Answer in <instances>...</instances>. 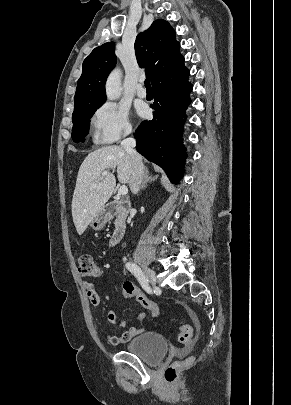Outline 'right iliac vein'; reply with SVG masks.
I'll list each match as a JSON object with an SVG mask.
<instances>
[{
	"instance_id": "right-iliac-vein-1",
	"label": "right iliac vein",
	"mask_w": 291,
	"mask_h": 405,
	"mask_svg": "<svg viewBox=\"0 0 291 405\" xmlns=\"http://www.w3.org/2000/svg\"><path fill=\"white\" fill-rule=\"evenodd\" d=\"M143 271H144V274H145L147 280L149 281V283L151 285H155L157 279H156V275H155L154 271L146 266L143 267Z\"/></svg>"
}]
</instances>
